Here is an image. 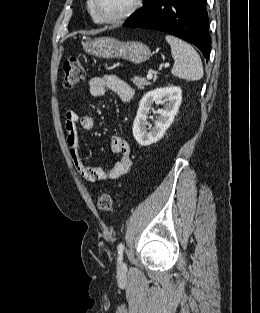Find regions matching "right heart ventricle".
<instances>
[{
    "label": "right heart ventricle",
    "mask_w": 260,
    "mask_h": 313,
    "mask_svg": "<svg viewBox=\"0 0 260 313\" xmlns=\"http://www.w3.org/2000/svg\"><path fill=\"white\" fill-rule=\"evenodd\" d=\"M86 7H87V10H88V13L90 14L92 20L95 22V23H100L97 18L95 17L94 13H93V10H92V1L91 0H87L86 2Z\"/></svg>",
    "instance_id": "1"
}]
</instances>
